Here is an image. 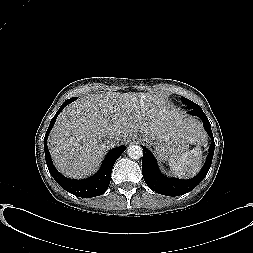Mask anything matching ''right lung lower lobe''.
Returning a JSON list of instances; mask_svg holds the SVG:
<instances>
[{
    "label": "right lung lower lobe",
    "mask_w": 253,
    "mask_h": 253,
    "mask_svg": "<svg viewBox=\"0 0 253 253\" xmlns=\"http://www.w3.org/2000/svg\"><path fill=\"white\" fill-rule=\"evenodd\" d=\"M76 97L66 100L62 106L57 111L56 115L52 118L49 128L46 132L44 138V149H45V158L46 163L49 169L50 174L55 179V181L60 184L67 192H70L78 197H95L103 194L110 183L111 180V172L114 163L118 159V157L125 151V146H120L114 148L108 152L106 155L100 170L92 177L87 178L85 180H71L63 175H61L56 168L54 167L51 156L47 147V137L49 132L51 131L58 114L62 111V109L70 104L71 102L75 101Z\"/></svg>",
    "instance_id": "1"
}]
</instances>
